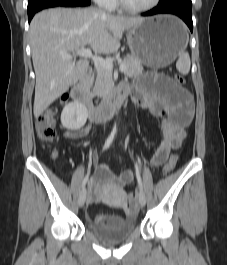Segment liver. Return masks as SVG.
<instances>
[{
	"instance_id": "obj_1",
	"label": "liver",
	"mask_w": 227,
	"mask_h": 265,
	"mask_svg": "<svg viewBox=\"0 0 227 265\" xmlns=\"http://www.w3.org/2000/svg\"><path fill=\"white\" fill-rule=\"evenodd\" d=\"M143 20L95 8H55L36 14L29 29L36 75L34 116L39 117L87 72V59L75 62L62 54H74L87 45L95 54L116 53L123 32Z\"/></svg>"
}]
</instances>
